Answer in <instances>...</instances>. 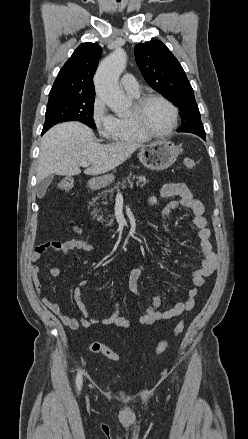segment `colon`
Returning <instances> with one entry per match:
<instances>
[{
    "label": "colon",
    "mask_w": 248,
    "mask_h": 439,
    "mask_svg": "<svg viewBox=\"0 0 248 439\" xmlns=\"http://www.w3.org/2000/svg\"><path fill=\"white\" fill-rule=\"evenodd\" d=\"M183 166L186 171L192 172L196 169L197 163L192 158H185L183 160ZM73 186H74V181L72 178H64L58 184L59 189L63 192H70L73 189ZM184 329H185V323L183 321L179 322L175 326L172 332V337L175 338L179 336L184 331ZM169 344H170V339H165L161 341L155 349V354L161 355L162 353H164L169 347ZM89 347L91 351L100 353L104 355L106 358H108L109 360L115 362L120 361L119 354L114 350H112L111 348H109L108 346L104 345L103 343L91 342Z\"/></svg>",
    "instance_id": "colon-1"
}]
</instances>
